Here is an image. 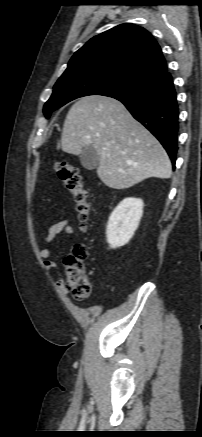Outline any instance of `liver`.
I'll return each mask as SVG.
<instances>
[{"label": "liver", "mask_w": 202, "mask_h": 437, "mask_svg": "<svg viewBox=\"0 0 202 437\" xmlns=\"http://www.w3.org/2000/svg\"><path fill=\"white\" fill-rule=\"evenodd\" d=\"M88 145L97 150L98 177L110 188L126 189L147 178L171 177V162L163 146L114 98L82 97L68 111L62 150L80 155Z\"/></svg>", "instance_id": "obj_1"}]
</instances>
